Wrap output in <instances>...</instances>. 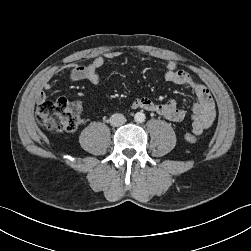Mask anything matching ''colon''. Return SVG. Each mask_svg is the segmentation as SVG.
<instances>
[{"label":"colon","mask_w":251,"mask_h":251,"mask_svg":"<svg viewBox=\"0 0 251 251\" xmlns=\"http://www.w3.org/2000/svg\"><path fill=\"white\" fill-rule=\"evenodd\" d=\"M80 111L76 104L66 99L40 103L36 108L37 122L45 129L53 133L73 131L79 124ZM189 142H194L192 134H187Z\"/></svg>","instance_id":"1"}]
</instances>
